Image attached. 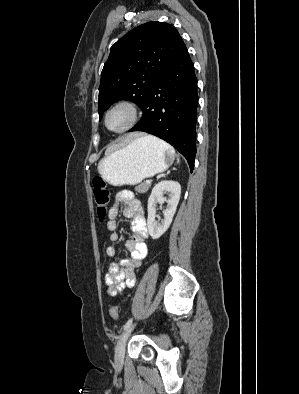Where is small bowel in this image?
Returning a JSON list of instances; mask_svg holds the SVG:
<instances>
[{
	"label": "small bowel",
	"mask_w": 299,
	"mask_h": 394,
	"mask_svg": "<svg viewBox=\"0 0 299 394\" xmlns=\"http://www.w3.org/2000/svg\"><path fill=\"white\" fill-rule=\"evenodd\" d=\"M122 205L124 206L123 215L131 220L132 235L125 242L129 257L120 262L114 261L108 266L105 282L111 295H116L123 288L132 287L135 284V269L147 254V227L144 210L141 202L135 198L131 191L119 192L110 207L109 221L107 222V229L110 232L109 240L112 242L119 240L117 218ZM106 254L109 257H115L117 248L113 245L107 246Z\"/></svg>",
	"instance_id": "1"
}]
</instances>
